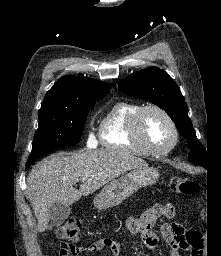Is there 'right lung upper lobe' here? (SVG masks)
<instances>
[{
    "instance_id": "cb5924a9",
    "label": "right lung upper lobe",
    "mask_w": 221,
    "mask_h": 256,
    "mask_svg": "<svg viewBox=\"0 0 221 256\" xmlns=\"http://www.w3.org/2000/svg\"><path fill=\"white\" fill-rule=\"evenodd\" d=\"M110 85L92 78L63 76L46 93L39 112L74 109L77 102L104 96Z\"/></svg>"
}]
</instances>
